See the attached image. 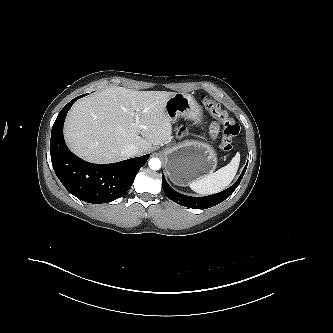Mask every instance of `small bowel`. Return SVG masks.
Instances as JSON below:
<instances>
[{"mask_svg":"<svg viewBox=\"0 0 333 333\" xmlns=\"http://www.w3.org/2000/svg\"><path fill=\"white\" fill-rule=\"evenodd\" d=\"M212 131H213L214 133L218 131V126H217L216 124H214V125L212 126Z\"/></svg>","mask_w":333,"mask_h":333,"instance_id":"c3829d8e","label":"small bowel"}]
</instances>
